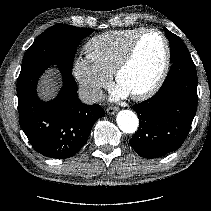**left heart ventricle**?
Instances as JSON below:
<instances>
[{
    "label": "left heart ventricle",
    "mask_w": 211,
    "mask_h": 211,
    "mask_svg": "<svg viewBox=\"0 0 211 211\" xmlns=\"http://www.w3.org/2000/svg\"><path fill=\"white\" fill-rule=\"evenodd\" d=\"M164 61V44L157 33L146 34L139 44L137 54L121 74L118 84L130 94L150 87L160 73Z\"/></svg>",
    "instance_id": "left-heart-ventricle-1"
}]
</instances>
